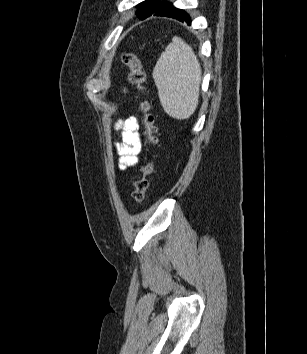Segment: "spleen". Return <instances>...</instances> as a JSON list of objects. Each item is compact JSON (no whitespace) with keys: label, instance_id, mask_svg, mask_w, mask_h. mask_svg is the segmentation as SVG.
Masks as SVG:
<instances>
[{"label":"spleen","instance_id":"1","mask_svg":"<svg viewBox=\"0 0 307 354\" xmlns=\"http://www.w3.org/2000/svg\"><path fill=\"white\" fill-rule=\"evenodd\" d=\"M152 75L164 111L178 120L189 118L198 105L201 83L200 63L192 48L175 36Z\"/></svg>","mask_w":307,"mask_h":354}]
</instances>
